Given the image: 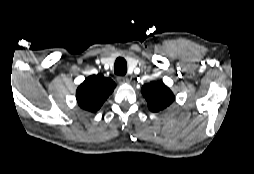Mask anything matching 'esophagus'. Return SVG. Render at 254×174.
<instances>
[{"instance_id":"esophagus-1","label":"esophagus","mask_w":254,"mask_h":174,"mask_svg":"<svg viewBox=\"0 0 254 174\" xmlns=\"http://www.w3.org/2000/svg\"><path fill=\"white\" fill-rule=\"evenodd\" d=\"M117 81L120 83V84H128L130 82L129 78L126 77V76H118L117 77Z\"/></svg>"}]
</instances>
